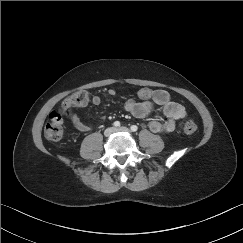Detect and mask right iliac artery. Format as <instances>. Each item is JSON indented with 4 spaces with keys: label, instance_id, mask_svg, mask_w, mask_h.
<instances>
[{
    "label": "right iliac artery",
    "instance_id": "obj_1",
    "mask_svg": "<svg viewBox=\"0 0 243 243\" xmlns=\"http://www.w3.org/2000/svg\"><path fill=\"white\" fill-rule=\"evenodd\" d=\"M113 126H114L115 128L120 127V122H119V121H115V122L113 123Z\"/></svg>",
    "mask_w": 243,
    "mask_h": 243
}]
</instances>
